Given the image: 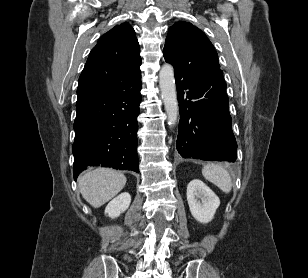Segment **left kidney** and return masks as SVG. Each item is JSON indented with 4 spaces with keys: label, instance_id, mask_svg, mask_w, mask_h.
<instances>
[{
    "label": "left kidney",
    "instance_id": "obj_1",
    "mask_svg": "<svg viewBox=\"0 0 308 278\" xmlns=\"http://www.w3.org/2000/svg\"><path fill=\"white\" fill-rule=\"evenodd\" d=\"M187 201L192 216L203 224L214 218L220 205L217 195L199 179H194L188 184Z\"/></svg>",
    "mask_w": 308,
    "mask_h": 278
}]
</instances>
